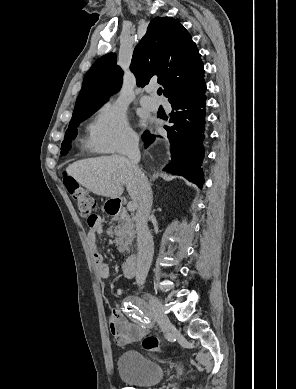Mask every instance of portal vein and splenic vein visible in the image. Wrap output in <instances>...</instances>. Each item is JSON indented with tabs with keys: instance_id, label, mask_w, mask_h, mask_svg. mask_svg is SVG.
I'll return each instance as SVG.
<instances>
[{
	"instance_id": "1",
	"label": "portal vein and splenic vein",
	"mask_w": 296,
	"mask_h": 389,
	"mask_svg": "<svg viewBox=\"0 0 296 389\" xmlns=\"http://www.w3.org/2000/svg\"><path fill=\"white\" fill-rule=\"evenodd\" d=\"M136 208H137V203H136V202H134V201L128 202V204H127V209H128L129 211H135Z\"/></svg>"
}]
</instances>
